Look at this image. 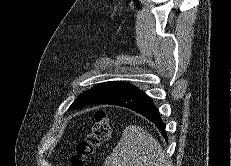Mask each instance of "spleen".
I'll list each match as a JSON object with an SVG mask.
<instances>
[{"label": "spleen", "mask_w": 231, "mask_h": 166, "mask_svg": "<svg viewBox=\"0 0 231 166\" xmlns=\"http://www.w3.org/2000/svg\"><path fill=\"white\" fill-rule=\"evenodd\" d=\"M104 166H167L161 145L143 128L129 125Z\"/></svg>", "instance_id": "obj_1"}]
</instances>
